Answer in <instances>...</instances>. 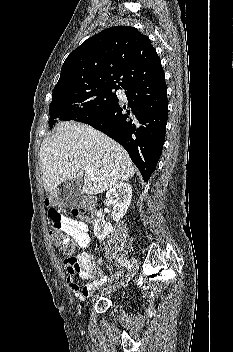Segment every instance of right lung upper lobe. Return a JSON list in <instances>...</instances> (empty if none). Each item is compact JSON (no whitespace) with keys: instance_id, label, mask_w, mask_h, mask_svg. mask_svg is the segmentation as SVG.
Instances as JSON below:
<instances>
[{"instance_id":"1","label":"right lung upper lobe","mask_w":233,"mask_h":352,"mask_svg":"<svg viewBox=\"0 0 233 352\" xmlns=\"http://www.w3.org/2000/svg\"><path fill=\"white\" fill-rule=\"evenodd\" d=\"M163 73L160 58L146 35L130 26H114L70 53L53 93L96 85L126 88Z\"/></svg>"}]
</instances>
